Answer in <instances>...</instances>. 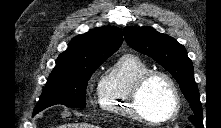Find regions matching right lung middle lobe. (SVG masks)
<instances>
[{"instance_id":"dd1d6c3e","label":"right lung middle lobe","mask_w":221,"mask_h":128,"mask_svg":"<svg viewBox=\"0 0 221 128\" xmlns=\"http://www.w3.org/2000/svg\"><path fill=\"white\" fill-rule=\"evenodd\" d=\"M107 58L71 69L53 71L34 109L33 116L55 104L85 108L88 80Z\"/></svg>"}]
</instances>
